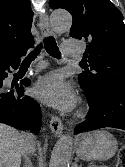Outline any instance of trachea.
Masks as SVG:
<instances>
[{"instance_id": "3493384b", "label": "trachea", "mask_w": 125, "mask_h": 167, "mask_svg": "<svg viewBox=\"0 0 125 167\" xmlns=\"http://www.w3.org/2000/svg\"><path fill=\"white\" fill-rule=\"evenodd\" d=\"M43 46L39 45L34 51H32L22 62V65H28L31 64V62L39 55L40 50ZM44 47L47 51V53L55 58H60L61 53L59 51V48L57 47L56 41L54 37L49 36L44 39Z\"/></svg>"}]
</instances>
